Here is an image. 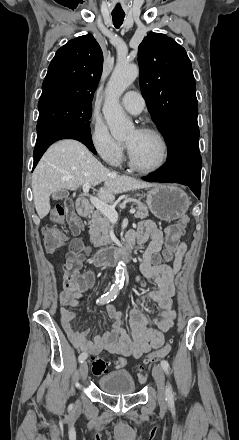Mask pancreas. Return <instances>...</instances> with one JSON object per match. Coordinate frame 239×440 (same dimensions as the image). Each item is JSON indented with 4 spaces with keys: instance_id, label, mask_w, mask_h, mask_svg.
Wrapping results in <instances>:
<instances>
[{
    "instance_id": "1",
    "label": "pancreas",
    "mask_w": 239,
    "mask_h": 440,
    "mask_svg": "<svg viewBox=\"0 0 239 440\" xmlns=\"http://www.w3.org/2000/svg\"><path fill=\"white\" fill-rule=\"evenodd\" d=\"M137 204V214H135V218H147L148 208L142 202H136ZM89 234H90V242L94 244V248H101V246H109L112 244V240H110L109 232L112 228L111 220L102 214L100 210H95L93 214H91V222L89 226Z\"/></svg>"
}]
</instances>
